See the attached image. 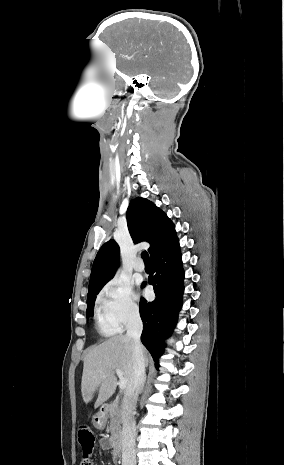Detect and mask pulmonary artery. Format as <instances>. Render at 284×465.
<instances>
[{
    "label": "pulmonary artery",
    "instance_id": "obj_1",
    "mask_svg": "<svg viewBox=\"0 0 284 465\" xmlns=\"http://www.w3.org/2000/svg\"><path fill=\"white\" fill-rule=\"evenodd\" d=\"M133 268L137 272H143L145 269V266H144V263L140 259H138L137 261L134 262Z\"/></svg>",
    "mask_w": 284,
    "mask_h": 465
}]
</instances>
